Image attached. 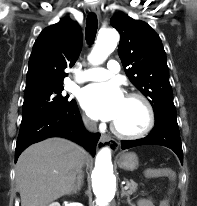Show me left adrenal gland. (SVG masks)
<instances>
[{
	"label": "left adrenal gland",
	"instance_id": "left-adrenal-gland-1",
	"mask_svg": "<svg viewBox=\"0 0 197 206\" xmlns=\"http://www.w3.org/2000/svg\"><path fill=\"white\" fill-rule=\"evenodd\" d=\"M126 196L127 197V202L130 204L131 200H130V196L129 194L124 190V188L121 186V197Z\"/></svg>",
	"mask_w": 197,
	"mask_h": 206
}]
</instances>
